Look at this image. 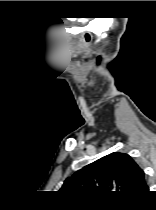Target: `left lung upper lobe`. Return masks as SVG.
Masks as SVG:
<instances>
[{
  "label": "left lung upper lobe",
  "mask_w": 156,
  "mask_h": 210,
  "mask_svg": "<svg viewBox=\"0 0 156 210\" xmlns=\"http://www.w3.org/2000/svg\"><path fill=\"white\" fill-rule=\"evenodd\" d=\"M148 189L144 171L136 162L128 154L115 152L78 170L65 180L60 190L138 196L146 194Z\"/></svg>",
  "instance_id": "1"
}]
</instances>
